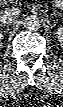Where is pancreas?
<instances>
[{"mask_svg": "<svg viewBox=\"0 0 63 107\" xmlns=\"http://www.w3.org/2000/svg\"><path fill=\"white\" fill-rule=\"evenodd\" d=\"M52 3L57 6V7H61L62 6V1L60 0H53Z\"/></svg>", "mask_w": 63, "mask_h": 107, "instance_id": "cf45deb5", "label": "pancreas"}]
</instances>
